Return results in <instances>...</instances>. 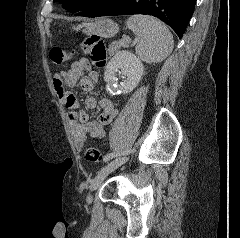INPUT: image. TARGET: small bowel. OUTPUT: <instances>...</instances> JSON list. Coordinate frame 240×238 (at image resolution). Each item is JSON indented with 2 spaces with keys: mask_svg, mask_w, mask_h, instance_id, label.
<instances>
[{
  "mask_svg": "<svg viewBox=\"0 0 240 238\" xmlns=\"http://www.w3.org/2000/svg\"><path fill=\"white\" fill-rule=\"evenodd\" d=\"M85 72L89 73L88 77H84ZM99 80V74L92 70L90 62L85 58L74 62L69 70H60L54 75L55 92L59 101L69 109L68 123L77 150L82 149L88 137L103 138L105 136V127L112 121L118 110L109 98H101L97 102L94 97H88L85 100L87 109H94L97 104L100 108L97 119L90 120L87 112L80 109L75 95L66 90V86L73 87L78 84L83 91L89 92Z\"/></svg>",
  "mask_w": 240,
  "mask_h": 238,
  "instance_id": "small-bowel-1",
  "label": "small bowel"
}]
</instances>
